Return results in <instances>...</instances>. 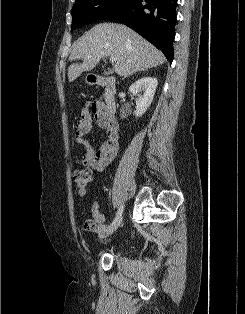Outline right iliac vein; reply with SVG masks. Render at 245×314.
I'll return each mask as SVG.
<instances>
[{"instance_id":"obj_1","label":"right iliac vein","mask_w":245,"mask_h":314,"mask_svg":"<svg viewBox=\"0 0 245 314\" xmlns=\"http://www.w3.org/2000/svg\"><path fill=\"white\" fill-rule=\"evenodd\" d=\"M122 217H123V210L118 214L117 216V220L115 222V224L113 225V227L107 232V234L104 236L105 238L111 236L119 227L121 221H122Z\"/></svg>"}]
</instances>
